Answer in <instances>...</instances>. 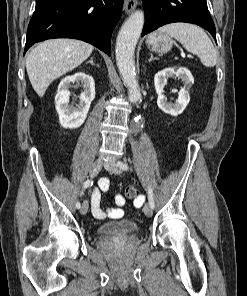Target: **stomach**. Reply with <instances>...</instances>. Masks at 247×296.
<instances>
[{"label": "stomach", "mask_w": 247, "mask_h": 296, "mask_svg": "<svg viewBox=\"0 0 247 296\" xmlns=\"http://www.w3.org/2000/svg\"><path fill=\"white\" fill-rule=\"evenodd\" d=\"M146 44L151 51L164 54L171 50L173 40L165 33L154 32L148 36Z\"/></svg>", "instance_id": "0dacf381"}]
</instances>
